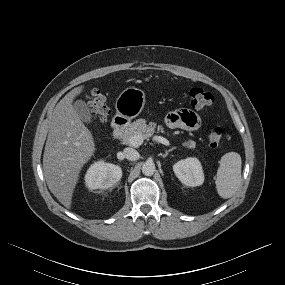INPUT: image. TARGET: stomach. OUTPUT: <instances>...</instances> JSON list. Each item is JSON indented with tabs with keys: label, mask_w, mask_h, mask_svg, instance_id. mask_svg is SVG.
Segmentation results:
<instances>
[{
	"label": "stomach",
	"mask_w": 285,
	"mask_h": 285,
	"mask_svg": "<svg viewBox=\"0 0 285 285\" xmlns=\"http://www.w3.org/2000/svg\"><path fill=\"white\" fill-rule=\"evenodd\" d=\"M144 105V91L135 87H128L118 96L115 108L118 117L131 121L142 112Z\"/></svg>",
	"instance_id": "0dacf381"
}]
</instances>
